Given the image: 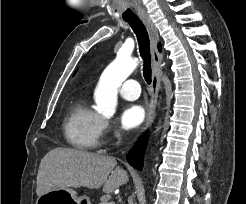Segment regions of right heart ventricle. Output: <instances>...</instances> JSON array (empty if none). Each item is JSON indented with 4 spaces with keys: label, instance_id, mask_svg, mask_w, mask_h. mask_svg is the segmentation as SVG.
I'll use <instances>...</instances> for the list:
<instances>
[{
    "label": "right heart ventricle",
    "instance_id": "right-heart-ventricle-1",
    "mask_svg": "<svg viewBox=\"0 0 246 204\" xmlns=\"http://www.w3.org/2000/svg\"><path fill=\"white\" fill-rule=\"evenodd\" d=\"M64 136L78 150H93L100 145L104 119L84 99L74 101L63 124Z\"/></svg>",
    "mask_w": 246,
    "mask_h": 204
}]
</instances>
